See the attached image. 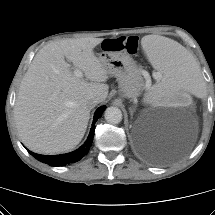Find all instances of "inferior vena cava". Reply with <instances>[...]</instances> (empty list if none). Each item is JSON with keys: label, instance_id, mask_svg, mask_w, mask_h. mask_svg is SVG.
<instances>
[{"label": "inferior vena cava", "instance_id": "obj_1", "mask_svg": "<svg viewBox=\"0 0 215 215\" xmlns=\"http://www.w3.org/2000/svg\"><path fill=\"white\" fill-rule=\"evenodd\" d=\"M98 103H100V98L99 97H93L88 101V107L89 108H94Z\"/></svg>", "mask_w": 215, "mask_h": 215}]
</instances>
